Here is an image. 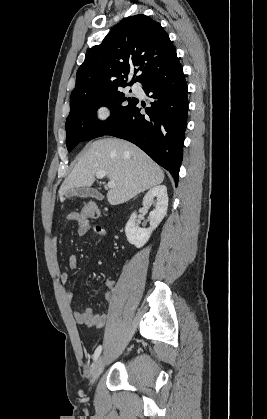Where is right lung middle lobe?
I'll return each instance as SVG.
<instances>
[{"label": "right lung middle lobe", "instance_id": "obj_1", "mask_svg": "<svg viewBox=\"0 0 267 419\" xmlns=\"http://www.w3.org/2000/svg\"><path fill=\"white\" fill-rule=\"evenodd\" d=\"M136 100L119 89L85 96L70 103V113L65 124L68 151L81 141L105 135L129 112ZM101 106H107L111 110V115L105 122L96 117V111Z\"/></svg>", "mask_w": 267, "mask_h": 419}]
</instances>
